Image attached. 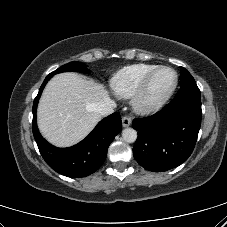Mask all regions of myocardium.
Masks as SVG:
<instances>
[{"mask_svg": "<svg viewBox=\"0 0 227 227\" xmlns=\"http://www.w3.org/2000/svg\"><path fill=\"white\" fill-rule=\"evenodd\" d=\"M165 69H168V70H171L174 72V74H175L174 84L166 93H164L159 98L154 99V100L148 99L149 88H150L154 78L160 71L165 70ZM178 81H179V75L173 67L165 66V65L158 66L156 69H154L152 72H150L145 77V79L142 81V83L139 86V88L137 89V91L132 96V105H133L134 109L138 113L144 114V115L153 114V113L161 110L166 105V103L170 100L172 95L174 94V92L177 88V85H178Z\"/></svg>", "mask_w": 227, "mask_h": 227, "instance_id": "obj_1", "label": "myocardium"}]
</instances>
